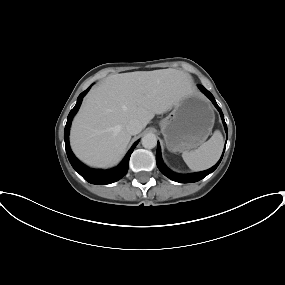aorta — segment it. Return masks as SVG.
<instances>
[{
    "label": "aorta",
    "mask_w": 285,
    "mask_h": 285,
    "mask_svg": "<svg viewBox=\"0 0 285 285\" xmlns=\"http://www.w3.org/2000/svg\"><path fill=\"white\" fill-rule=\"evenodd\" d=\"M142 146L146 149H152L157 145V138L155 134L148 133L143 136L142 140Z\"/></svg>",
    "instance_id": "aorta-1"
}]
</instances>
